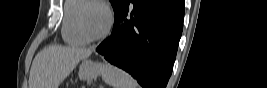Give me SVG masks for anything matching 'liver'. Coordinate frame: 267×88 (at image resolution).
Here are the masks:
<instances>
[{
	"label": "liver",
	"mask_w": 267,
	"mask_h": 88,
	"mask_svg": "<svg viewBox=\"0 0 267 88\" xmlns=\"http://www.w3.org/2000/svg\"><path fill=\"white\" fill-rule=\"evenodd\" d=\"M91 53L90 49L75 46L53 45L44 48L33 60L29 88H58L76 65Z\"/></svg>",
	"instance_id": "obj_1"
}]
</instances>
